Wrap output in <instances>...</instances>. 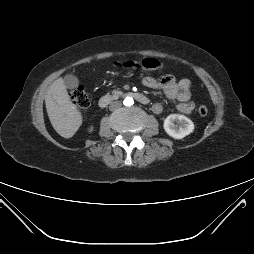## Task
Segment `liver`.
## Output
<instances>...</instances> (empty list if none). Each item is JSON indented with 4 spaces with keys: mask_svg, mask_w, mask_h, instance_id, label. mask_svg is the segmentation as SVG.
Segmentation results:
<instances>
[{
    "mask_svg": "<svg viewBox=\"0 0 254 254\" xmlns=\"http://www.w3.org/2000/svg\"><path fill=\"white\" fill-rule=\"evenodd\" d=\"M45 105L55 131L64 138H71L82 124V115L71 101L63 78L51 84L45 96Z\"/></svg>",
    "mask_w": 254,
    "mask_h": 254,
    "instance_id": "6515ba94",
    "label": "liver"
}]
</instances>
